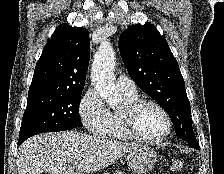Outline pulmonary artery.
<instances>
[{"instance_id":"1","label":"pulmonary artery","mask_w":224,"mask_h":174,"mask_svg":"<svg viewBox=\"0 0 224 174\" xmlns=\"http://www.w3.org/2000/svg\"><path fill=\"white\" fill-rule=\"evenodd\" d=\"M117 85L120 91L126 95H137V87L133 80L127 76L120 75L117 78Z\"/></svg>"}]
</instances>
